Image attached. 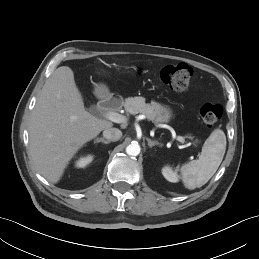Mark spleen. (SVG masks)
I'll list each match as a JSON object with an SVG mask.
<instances>
[{
  "instance_id": "3e777b00",
  "label": "spleen",
  "mask_w": 259,
  "mask_h": 259,
  "mask_svg": "<svg viewBox=\"0 0 259 259\" xmlns=\"http://www.w3.org/2000/svg\"><path fill=\"white\" fill-rule=\"evenodd\" d=\"M225 150V133L221 129H215L206 139L199 158L181 166L185 187L193 190L205 185L220 166Z\"/></svg>"
}]
</instances>
